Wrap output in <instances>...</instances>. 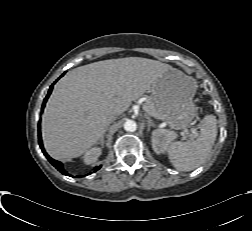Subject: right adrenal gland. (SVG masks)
<instances>
[{"label": "right adrenal gland", "mask_w": 252, "mask_h": 231, "mask_svg": "<svg viewBox=\"0 0 252 231\" xmlns=\"http://www.w3.org/2000/svg\"><path fill=\"white\" fill-rule=\"evenodd\" d=\"M106 131H107V129H105V133H106ZM105 133H104V134H105ZM103 143H104V135H103V137H102L101 140H100V144L103 145Z\"/></svg>", "instance_id": "obj_1"}]
</instances>
